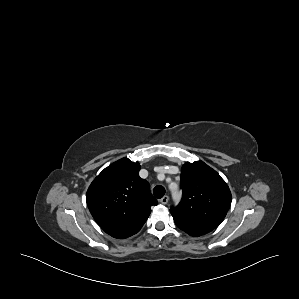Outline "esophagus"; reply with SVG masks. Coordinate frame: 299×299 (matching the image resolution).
<instances>
[{
  "instance_id": "1",
  "label": "esophagus",
  "mask_w": 299,
  "mask_h": 299,
  "mask_svg": "<svg viewBox=\"0 0 299 299\" xmlns=\"http://www.w3.org/2000/svg\"><path fill=\"white\" fill-rule=\"evenodd\" d=\"M168 201H169V196H167V195L160 199V202L164 205H166L168 203Z\"/></svg>"
}]
</instances>
